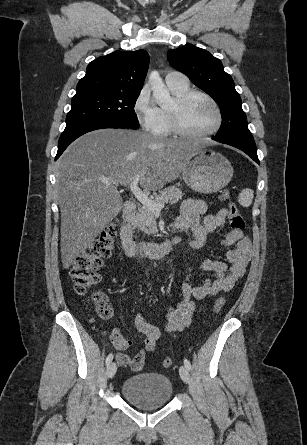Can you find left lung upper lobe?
Returning <instances> with one entry per match:
<instances>
[{"mask_svg":"<svg viewBox=\"0 0 307 445\" xmlns=\"http://www.w3.org/2000/svg\"><path fill=\"white\" fill-rule=\"evenodd\" d=\"M167 58L172 67L187 75L219 105L222 125L215 137L253 139L234 81L218 58L194 45L170 50Z\"/></svg>","mask_w":307,"mask_h":445,"instance_id":"left-lung-upper-lobe-1","label":"left lung upper lobe"}]
</instances>
